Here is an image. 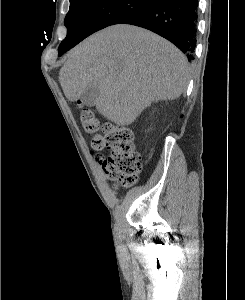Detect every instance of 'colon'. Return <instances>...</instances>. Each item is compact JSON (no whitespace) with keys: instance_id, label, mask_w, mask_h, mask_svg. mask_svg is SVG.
I'll use <instances>...</instances> for the list:
<instances>
[{"instance_id":"obj_1","label":"colon","mask_w":245,"mask_h":300,"mask_svg":"<svg viewBox=\"0 0 245 300\" xmlns=\"http://www.w3.org/2000/svg\"><path fill=\"white\" fill-rule=\"evenodd\" d=\"M81 121L84 130L92 135V150H110L107 158L100 159L107 177L117 187L134 185L141 172V158L135 150L131 130L112 123L101 126L94 114L88 110L81 112Z\"/></svg>"}]
</instances>
